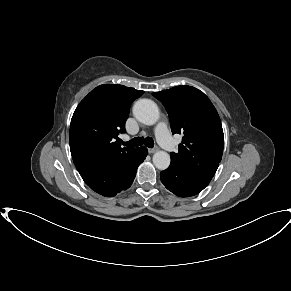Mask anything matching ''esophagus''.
<instances>
[{"label": "esophagus", "mask_w": 291, "mask_h": 291, "mask_svg": "<svg viewBox=\"0 0 291 291\" xmlns=\"http://www.w3.org/2000/svg\"><path fill=\"white\" fill-rule=\"evenodd\" d=\"M159 149L157 148V147H155V148H148V152L149 153H155L156 151H158Z\"/></svg>", "instance_id": "obj_1"}]
</instances>
